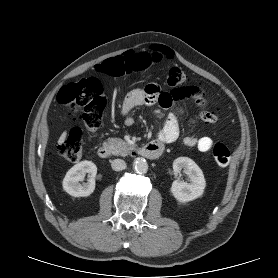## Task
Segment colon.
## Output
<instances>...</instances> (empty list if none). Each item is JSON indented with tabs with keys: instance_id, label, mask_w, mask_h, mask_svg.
Listing matches in <instances>:
<instances>
[{
	"instance_id": "1",
	"label": "colon",
	"mask_w": 278,
	"mask_h": 278,
	"mask_svg": "<svg viewBox=\"0 0 278 278\" xmlns=\"http://www.w3.org/2000/svg\"><path fill=\"white\" fill-rule=\"evenodd\" d=\"M158 59L157 53L125 54L103 61L97 66V71L103 75L118 78L144 70ZM166 83L175 89L174 93L179 98L191 97L200 106L208 104L206 91L198 84H188V77L181 69L169 68ZM57 99L59 103L75 112L82 111L84 126L90 133H94L101 126L106 97L99 79L89 77L71 82L60 89ZM82 137L83 133L80 128L71 129L67 139L58 146L59 154L67 161H78L82 156ZM212 155L221 167H226L230 162L231 153L221 142L213 144Z\"/></svg>"
}]
</instances>
